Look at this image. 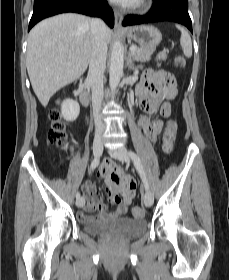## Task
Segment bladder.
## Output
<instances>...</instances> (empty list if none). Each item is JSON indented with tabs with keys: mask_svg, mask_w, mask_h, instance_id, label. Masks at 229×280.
Returning a JSON list of instances; mask_svg holds the SVG:
<instances>
[{
	"mask_svg": "<svg viewBox=\"0 0 229 280\" xmlns=\"http://www.w3.org/2000/svg\"><path fill=\"white\" fill-rule=\"evenodd\" d=\"M85 232L91 235H101L112 226H116L126 237L141 235L147 230L145 219H134L128 217L118 218L113 221L109 220H87L83 222Z\"/></svg>",
	"mask_w": 229,
	"mask_h": 280,
	"instance_id": "obj_1",
	"label": "bladder"
}]
</instances>
